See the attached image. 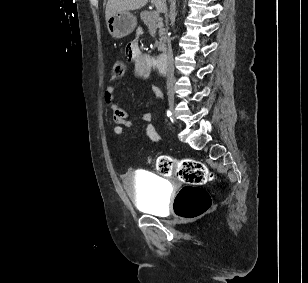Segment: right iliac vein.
Wrapping results in <instances>:
<instances>
[{"mask_svg":"<svg viewBox=\"0 0 308 283\" xmlns=\"http://www.w3.org/2000/svg\"><path fill=\"white\" fill-rule=\"evenodd\" d=\"M168 106H169L170 111L172 112V119H174V115H173V112H174V99H173V97L169 98Z\"/></svg>","mask_w":308,"mask_h":283,"instance_id":"63e3f726","label":"right iliac vein"}]
</instances>
